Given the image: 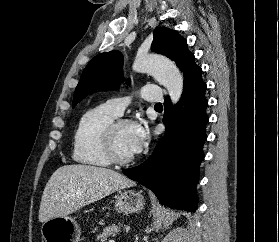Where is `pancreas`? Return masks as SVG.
<instances>
[{
    "label": "pancreas",
    "instance_id": "obj_1",
    "mask_svg": "<svg viewBox=\"0 0 279 242\" xmlns=\"http://www.w3.org/2000/svg\"><path fill=\"white\" fill-rule=\"evenodd\" d=\"M120 232V226L112 224L103 229L102 233L98 235V239L101 242H105L109 237H115Z\"/></svg>",
    "mask_w": 279,
    "mask_h": 242
}]
</instances>
